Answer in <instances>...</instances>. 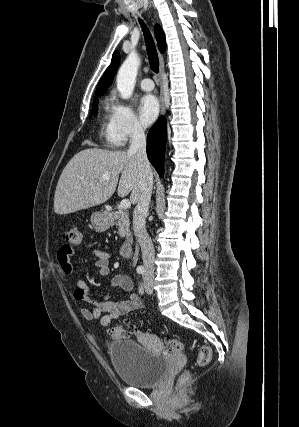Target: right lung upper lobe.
Listing matches in <instances>:
<instances>
[{
    "label": "right lung upper lobe",
    "instance_id": "right-lung-upper-lobe-1",
    "mask_svg": "<svg viewBox=\"0 0 299 427\" xmlns=\"http://www.w3.org/2000/svg\"><path fill=\"white\" fill-rule=\"evenodd\" d=\"M155 36H156L160 51L164 52L166 48L165 36H164L163 30L158 25L155 27ZM119 63H120V55H119V52L116 51L113 53L111 64L106 69V71L104 72L102 78L98 83L95 98H97V96L102 95L106 91V89L110 86V84L113 81L114 75L117 71V68L119 66Z\"/></svg>",
    "mask_w": 299,
    "mask_h": 427
}]
</instances>
